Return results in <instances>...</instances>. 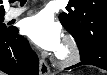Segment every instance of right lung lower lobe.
Here are the masks:
<instances>
[{"instance_id": "98d812e1", "label": "right lung lower lobe", "mask_w": 107, "mask_h": 75, "mask_svg": "<svg viewBox=\"0 0 107 75\" xmlns=\"http://www.w3.org/2000/svg\"><path fill=\"white\" fill-rule=\"evenodd\" d=\"M0 70L9 75L39 74L38 57L16 27L0 35Z\"/></svg>"}]
</instances>
